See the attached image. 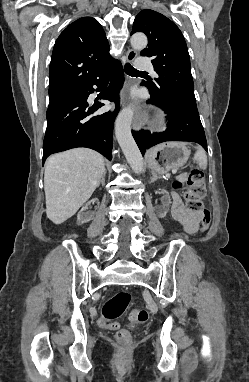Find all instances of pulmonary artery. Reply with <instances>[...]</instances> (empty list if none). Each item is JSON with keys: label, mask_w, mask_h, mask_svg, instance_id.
Segmentation results:
<instances>
[{"label": "pulmonary artery", "mask_w": 249, "mask_h": 382, "mask_svg": "<svg viewBox=\"0 0 249 382\" xmlns=\"http://www.w3.org/2000/svg\"><path fill=\"white\" fill-rule=\"evenodd\" d=\"M137 69L153 71V65L151 62L147 61L145 58H140L137 61Z\"/></svg>", "instance_id": "e3ab8cb5"}]
</instances>
